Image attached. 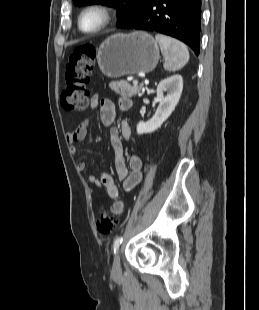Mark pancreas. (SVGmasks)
Returning <instances> with one entry per match:
<instances>
[{"label":"pancreas","mask_w":259,"mask_h":310,"mask_svg":"<svg viewBox=\"0 0 259 310\" xmlns=\"http://www.w3.org/2000/svg\"><path fill=\"white\" fill-rule=\"evenodd\" d=\"M109 87L112 91L116 92L122 97H133L136 94H139L142 90L143 85L131 86L127 81H117L111 82Z\"/></svg>","instance_id":"obj_1"}]
</instances>
